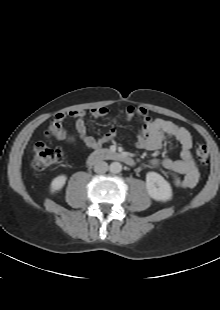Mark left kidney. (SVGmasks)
<instances>
[{
	"label": "left kidney",
	"mask_w": 220,
	"mask_h": 310,
	"mask_svg": "<svg viewBox=\"0 0 220 310\" xmlns=\"http://www.w3.org/2000/svg\"><path fill=\"white\" fill-rule=\"evenodd\" d=\"M146 189L151 198L166 202L172 199V188L160 174L148 172L146 174Z\"/></svg>",
	"instance_id": "5707ae66"
}]
</instances>
